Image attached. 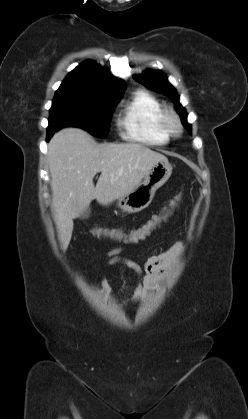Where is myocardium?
Wrapping results in <instances>:
<instances>
[{"instance_id":"1","label":"myocardium","mask_w":248,"mask_h":419,"mask_svg":"<svg viewBox=\"0 0 248 419\" xmlns=\"http://www.w3.org/2000/svg\"><path fill=\"white\" fill-rule=\"evenodd\" d=\"M161 124L169 137H177L183 131V124L177 112L171 108L163 109L161 115Z\"/></svg>"}]
</instances>
